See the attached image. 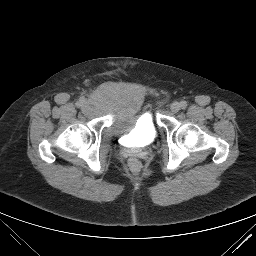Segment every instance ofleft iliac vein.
I'll return each mask as SVG.
<instances>
[{"label": "left iliac vein", "mask_w": 256, "mask_h": 256, "mask_svg": "<svg viewBox=\"0 0 256 256\" xmlns=\"http://www.w3.org/2000/svg\"><path fill=\"white\" fill-rule=\"evenodd\" d=\"M181 106L178 102H173L170 106L172 112L177 113L180 110Z\"/></svg>", "instance_id": "4c4485c4"}]
</instances>
